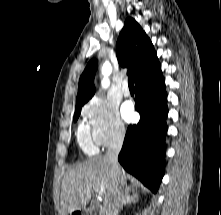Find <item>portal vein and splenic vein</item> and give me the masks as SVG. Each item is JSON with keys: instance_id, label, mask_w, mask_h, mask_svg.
<instances>
[{"instance_id": "1", "label": "portal vein and splenic vein", "mask_w": 221, "mask_h": 215, "mask_svg": "<svg viewBox=\"0 0 221 215\" xmlns=\"http://www.w3.org/2000/svg\"><path fill=\"white\" fill-rule=\"evenodd\" d=\"M102 191H103L102 189H101V190H98L99 194H101V193H102Z\"/></svg>"}]
</instances>
